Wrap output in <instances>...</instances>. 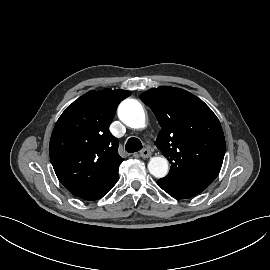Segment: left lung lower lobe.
I'll return each instance as SVG.
<instances>
[{
  "label": "left lung lower lobe",
  "instance_id": "0a47b994",
  "mask_svg": "<svg viewBox=\"0 0 270 270\" xmlns=\"http://www.w3.org/2000/svg\"><path fill=\"white\" fill-rule=\"evenodd\" d=\"M157 184L169 195L178 199L195 196L202 192L208 186V184L198 181H188L185 183H169L162 181L161 179L157 181Z\"/></svg>",
  "mask_w": 270,
  "mask_h": 270
}]
</instances>
